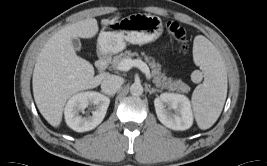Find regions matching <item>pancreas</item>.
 Instances as JSON below:
<instances>
[{
	"label": "pancreas",
	"mask_w": 267,
	"mask_h": 166,
	"mask_svg": "<svg viewBox=\"0 0 267 166\" xmlns=\"http://www.w3.org/2000/svg\"><path fill=\"white\" fill-rule=\"evenodd\" d=\"M134 56H137L139 58V54L137 52L126 50L125 52L113 57L111 62L112 67L118 69L121 61H123L124 59H131ZM143 56L145 61L149 63V66L152 69L153 83L156 87L181 93H188L190 91V87L186 83L182 82L181 80H173L172 78H167L164 74H162L160 72L161 65L159 63H156L154 58L149 57L144 53Z\"/></svg>",
	"instance_id": "cf45deb5"
}]
</instances>
